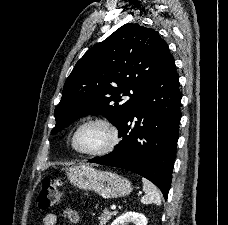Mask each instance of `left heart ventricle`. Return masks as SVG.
Returning a JSON list of instances; mask_svg holds the SVG:
<instances>
[{
  "label": "left heart ventricle",
  "mask_w": 228,
  "mask_h": 225,
  "mask_svg": "<svg viewBox=\"0 0 228 225\" xmlns=\"http://www.w3.org/2000/svg\"><path fill=\"white\" fill-rule=\"evenodd\" d=\"M74 142L75 146L81 150L101 149L108 142V134L99 125H88L77 133Z\"/></svg>",
  "instance_id": "1"
}]
</instances>
